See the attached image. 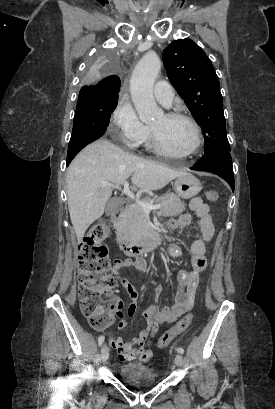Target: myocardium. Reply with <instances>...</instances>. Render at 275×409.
<instances>
[{
	"label": "myocardium",
	"instance_id": "1",
	"mask_svg": "<svg viewBox=\"0 0 275 409\" xmlns=\"http://www.w3.org/2000/svg\"><path fill=\"white\" fill-rule=\"evenodd\" d=\"M164 117L168 121H174V120L186 121L193 129L194 141L191 147L187 151L176 152L168 148L163 142L162 138L159 136V134L150 127L149 131H150L151 143L155 151H157L160 154L169 156V157H189L193 155L198 150L202 142V134H201V130H200L198 123L192 117L186 114L180 113V112H168L164 114Z\"/></svg>",
	"mask_w": 275,
	"mask_h": 409
}]
</instances>
